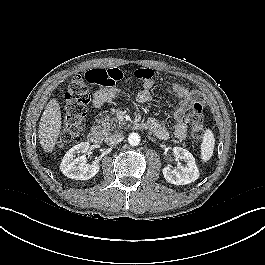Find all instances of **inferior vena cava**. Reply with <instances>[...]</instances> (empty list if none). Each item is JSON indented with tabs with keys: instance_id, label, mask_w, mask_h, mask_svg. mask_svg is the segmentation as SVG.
I'll return each mask as SVG.
<instances>
[{
	"instance_id": "1",
	"label": "inferior vena cava",
	"mask_w": 265,
	"mask_h": 265,
	"mask_svg": "<svg viewBox=\"0 0 265 265\" xmlns=\"http://www.w3.org/2000/svg\"><path fill=\"white\" fill-rule=\"evenodd\" d=\"M121 138H122V135L120 133L113 134V135L106 137L105 142L107 144L113 145V144L118 143L121 140Z\"/></svg>"
}]
</instances>
